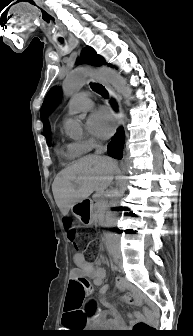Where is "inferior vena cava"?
<instances>
[{
	"label": "inferior vena cava",
	"instance_id": "1",
	"mask_svg": "<svg viewBox=\"0 0 193 336\" xmlns=\"http://www.w3.org/2000/svg\"><path fill=\"white\" fill-rule=\"evenodd\" d=\"M106 146H102V145H96V151L95 154L96 155H100L103 154L106 151ZM113 177H111L110 179L112 180Z\"/></svg>",
	"mask_w": 193,
	"mask_h": 336
}]
</instances>
